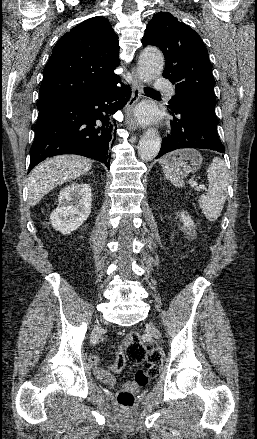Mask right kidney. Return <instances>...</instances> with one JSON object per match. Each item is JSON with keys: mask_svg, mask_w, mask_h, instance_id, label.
Returning <instances> with one entry per match:
<instances>
[{"mask_svg": "<svg viewBox=\"0 0 257 439\" xmlns=\"http://www.w3.org/2000/svg\"><path fill=\"white\" fill-rule=\"evenodd\" d=\"M91 187L86 183H72L59 193L58 207L50 216L52 227L70 234L78 229L91 213Z\"/></svg>", "mask_w": 257, "mask_h": 439, "instance_id": "ca27d5eb", "label": "right kidney"}]
</instances>
